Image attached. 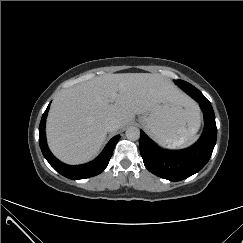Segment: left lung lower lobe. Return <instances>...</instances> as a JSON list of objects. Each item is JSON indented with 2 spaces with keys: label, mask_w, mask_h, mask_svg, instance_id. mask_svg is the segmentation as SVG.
Segmentation results:
<instances>
[{
  "label": "left lung lower lobe",
  "mask_w": 243,
  "mask_h": 243,
  "mask_svg": "<svg viewBox=\"0 0 243 243\" xmlns=\"http://www.w3.org/2000/svg\"><path fill=\"white\" fill-rule=\"evenodd\" d=\"M178 86L199 103L204 113L205 128L200 139L187 149L171 151L159 148L142 130L140 137V153L145 167L170 181H180L200 171L209 161L217 138L210 101L188 82Z\"/></svg>",
  "instance_id": "left-lung-lower-lobe-1"
}]
</instances>
